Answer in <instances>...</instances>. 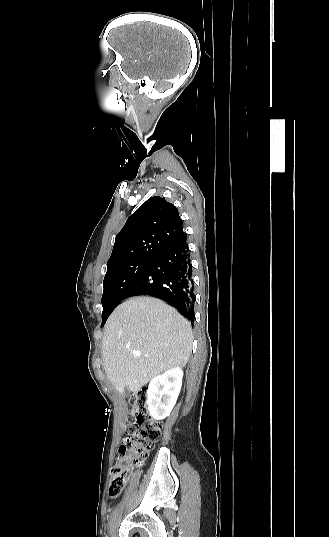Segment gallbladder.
I'll return each mask as SVG.
<instances>
[{
	"instance_id": "bac80fb5",
	"label": "gallbladder",
	"mask_w": 329,
	"mask_h": 537,
	"mask_svg": "<svg viewBox=\"0 0 329 537\" xmlns=\"http://www.w3.org/2000/svg\"><path fill=\"white\" fill-rule=\"evenodd\" d=\"M124 393H125V395H127L129 393L128 388H125Z\"/></svg>"
}]
</instances>
